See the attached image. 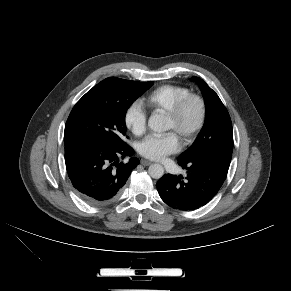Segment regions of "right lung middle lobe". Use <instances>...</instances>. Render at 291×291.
Wrapping results in <instances>:
<instances>
[{"instance_id":"dd1d6c3e","label":"right lung middle lobe","mask_w":291,"mask_h":291,"mask_svg":"<svg viewBox=\"0 0 291 291\" xmlns=\"http://www.w3.org/2000/svg\"><path fill=\"white\" fill-rule=\"evenodd\" d=\"M152 85L116 77L98 83L73 107L65 125L64 144L77 140L124 144L126 112Z\"/></svg>"}]
</instances>
